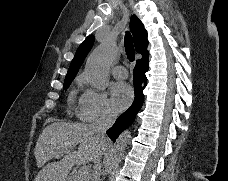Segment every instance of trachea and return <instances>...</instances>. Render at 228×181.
<instances>
[{"label":"trachea","instance_id":"1","mask_svg":"<svg viewBox=\"0 0 228 181\" xmlns=\"http://www.w3.org/2000/svg\"><path fill=\"white\" fill-rule=\"evenodd\" d=\"M124 46H125V51L126 55L129 61H134L135 60V50H134V45H133V40L130 32H126L125 34V39H124Z\"/></svg>","mask_w":228,"mask_h":181}]
</instances>
